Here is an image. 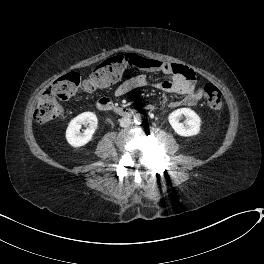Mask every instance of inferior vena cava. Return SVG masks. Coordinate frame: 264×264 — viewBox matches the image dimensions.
<instances>
[{
	"instance_id": "602c4592",
	"label": "inferior vena cava",
	"mask_w": 264,
	"mask_h": 264,
	"mask_svg": "<svg viewBox=\"0 0 264 264\" xmlns=\"http://www.w3.org/2000/svg\"><path fill=\"white\" fill-rule=\"evenodd\" d=\"M121 127H128L131 124V120L128 117H123L119 120Z\"/></svg>"
}]
</instances>
